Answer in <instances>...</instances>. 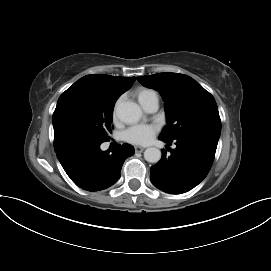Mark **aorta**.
I'll return each mask as SVG.
<instances>
[{"mask_svg": "<svg viewBox=\"0 0 271 271\" xmlns=\"http://www.w3.org/2000/svg\"><path fill=\"white\" fill-rule=\"evenodd\" d=\"M116 116L126 124L137 123L142 117L141 108L132 101H119L115 108ZM144 158L150 163H157L161 159V151L155 147H149L144 151Z\"/></svg>", "mask_w": 271, "mask_h": 271, "instance_id": "aorta-1", "label": "aorta"}]
</instances>
